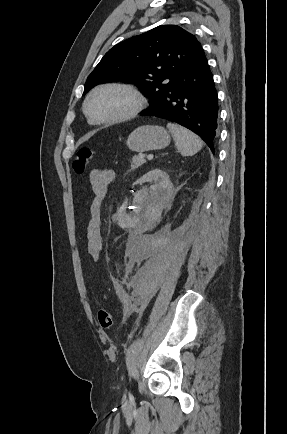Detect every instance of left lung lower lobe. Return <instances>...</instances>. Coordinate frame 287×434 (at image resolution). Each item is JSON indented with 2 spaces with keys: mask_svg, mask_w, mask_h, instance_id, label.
Here are the masks:
<instances>
[{
  "mask_svg": "<svg viewBox=\"0 0 287 434\" xmlns=\"http://www.w3.org/2000/svg\"><path fill=\"white\" fill-rule=\"evenodd\" d=\"M141 115L160 117L190 129L214 152L218 97L205 55L186 66L161 99Z\"/></svg>",
  "mask_w": 287,
  "mask_h": 434,
  "instance_id": "1",
  "label": "left lung lower lobe"
}]
</instances>
